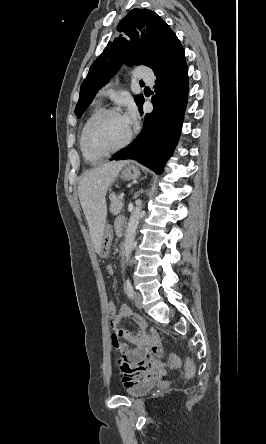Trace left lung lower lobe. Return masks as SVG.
Here are the masks:
<instances>
[{
  "label": "left lung lower lobe",
  "instance_id": "1",
  "mask_svg": "<svg viewBox=\"0 0 266 444\" xmlns=\"http://www.w3.org/2000/svg\"><path fill=\"white\" fill-rule=\"evenodd\" d=\"M155 75V90L159 96L152 97L155 104L153 112L144 116L143 129L129 148L116 153L110 160L135 159L156 173H161L164 162L173 153L179 139L187 104L185 53ZM158 99H161L159 103Z\"/></svg>",
  "mask_w": 266,
  "mask_h": 444
}]
</instances>
